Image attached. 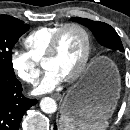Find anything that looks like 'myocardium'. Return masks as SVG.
<instances>
[{"label": "myocardium", "instance_id": "f54148a6", "mask_svg": "<svg viewBox=\"0 0 130 130\" xmlns=\"http://www.w3.org/2000/svg\"><path fill=\"white\" fill-rule=\"evenodd\" d=\"M67 29L78 30L83 35L84 41H85L84 53H83L79 66L70 76L64 79V81L66 82H73L77 80L85 71L89 58H90V54H91V47H92L91 35L89 31L83 25L72 22V23H67L61 26L59 30L53 36L50 42V45L48 47L47 53L45 57L43 58V62L52 59L57 54L61 36Z\"/></svg>", "mask_w": 130, "mask_h": 130}]
</instances>
